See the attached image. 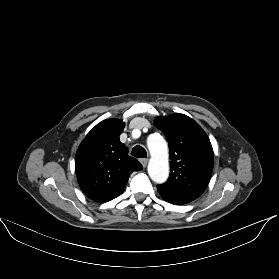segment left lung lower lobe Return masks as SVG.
I'll list each match as a JSON object with an SVG mask.
<instances>
[{
    "label": "left lung lower lobe",
    "instance_id": "obj_1",
    "mask_svg": "<svg viewBox=\"0 0 279 279\" xmlns=\"http://www.w3.org/2000/svg\"><path fill=\"white\" fill-rule=\"evenodd\" d=\"M170 203H172V202H170ZM172 204H175V203H172ZM176 205H180V204H176Z\"/></svg>",
    "mask_w": 279,
    "mask_h": 279
}]
</instances>
